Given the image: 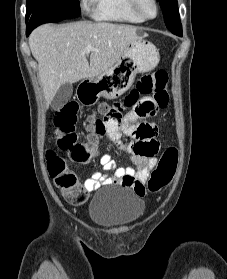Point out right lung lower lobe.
<instances>
[{"mask_svg":"<svg viewBox=\"0 0 227 279\" xmlns=\"http://www.w3.org/2000/svg\"><path fill=\"white\" fill-rule=\"evenodd\" d=\"M64 19H54V18H50V17H46V16H40L37 19H35L34 21L31 22H26L27 26H26V35L28 36L33 29H35L37 26L44 24V23H49V22H59L62 21Z\"/></svg>","mask_w":227,"mask_h":279,"instance_id":"1","label":"right lung lower lobe"}]
</instances>
